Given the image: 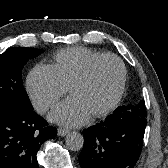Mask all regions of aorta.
<instances>
[{
  "label": "aorta",
  "mask_w": 168,
  "mask_h": 168,
  "mask_svg": "<svg viewBox=\"0 0 168 168\" xmlns=\"http://www.w3.org/2000/svg\"><path fill=\"white\" fill-rule=\"evenodd\" d=\"M65 142L69 150L78 151L83 147L84 138L80 133L74 131L67 134Z\"/></svg>",
  "instance_id": "obj_1"
}]
</instances>
